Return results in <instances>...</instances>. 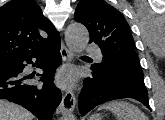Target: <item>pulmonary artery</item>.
Listing matches in <instances>:
<instances>
[{
    "mask_svg": "<svg viewBox=\"0 0 165 120\" xmlns=\"http://www.w3.org/2000/svg\"><path fill=\"white\" fill-rule=\"evenodd\" d=\"M85 52L96 56H100L101 54L99 48L91 44L85 46Z\"/></svg>",
    "mask_w": 165,
    "mask_h": 120,
    "instance_id": "obj_1",
    "label": "pulmonary artery"
}]
</instances>
